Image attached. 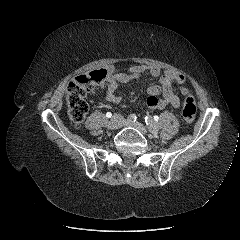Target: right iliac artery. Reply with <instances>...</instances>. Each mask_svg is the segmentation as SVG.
<instances>
[{"instance_id": "right-iliac-artery-1", "label": "right iliac artery", "mask_w": 240, "mask_h": 240, "mask_svg": "<svg viewBox=\"0 0 240 240\" xmlns=\"http://www.w3.org/2000/svg\"><path fill=\"white\" fill-rule=\"evenodd\" d=\"M127 119L128 121L135 122L137 117L135 114H130Z\"/></svg>"}]
</instances>
